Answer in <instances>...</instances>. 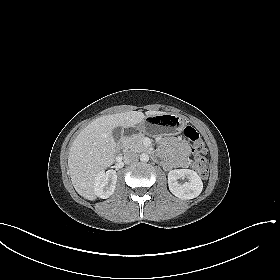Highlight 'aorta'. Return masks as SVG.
I'll use <instances>...</instances> for the list:
<instances>
[{"mask_svg": "<svg viewBox=\"0 0 280 280\" xmlns=\"http://www.w3.org/2000/svg\"><path fill=\"white\" fill-rule=\"evenodd\" d=\"M140 161L141 162H148L149 161V155L146 153H143L140 155Z\"/></svg>", "mask_w": 280, "mask_h": 280, "instance_id": "aorta-1", "label": "aorta"}]
</instances>
